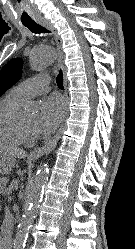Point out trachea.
<instances>
[{"instance_id": "trachea-1", "label": "trachea", "mask_w": 135, "mask_h": 249, "mask_svg": "<svg viewBox=\"0 0 135 249\" xmlns=\"http://www.w3.org/2000/svg\"><path fill=\"white\" fill-rule=\"evenodd\" d=\"M25 27H27L31 32L35 34H40V33H50L49 30H47L45 27L39 25L36 22H26L23 23ZM57 85L60 89H63V74L62 71L60 70L57 79H56Z\"/></svg>"}]
</instances>
